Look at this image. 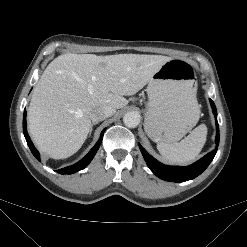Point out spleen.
<instances>
[{
	"label": "spleen",
	"instance_id": "1",
	"mask_svg": "<svg viewBox=\"0 0 247 247\" xmlns=\"http://www.w3.org/2000/svg\"><path fill=\"white\" fill-rule=\"evenodd\" d=\"M195 108L199 110L196 97L193 100ZM207 137V127L201 124L179 143H157V149L164 159L172 163L188 164L193 162L201 152Z\"/></svg>",
	"mask_w": 247,
	"mask_h": 247
}]
</instances>
